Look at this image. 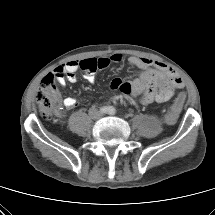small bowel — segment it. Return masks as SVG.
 Returning a JSON list of instances; mask_svg holds the SVG:
<instances>
[{"mask_svg":"<svg viewBox=\"0 0 215 215\" xmlns=\"http://www.w3.org/2000/svg\"><path fill=\"white\" fill-rule=\"evenodd\" d=\"M122 60L123 56L119 53L109 57L71 60L57 67L50 75H53L60 85L65 86L66 82H76V72L80 70L84 72L86 80L93 84L97 71ZM128 62L142 70L140 75L130 82L116 78L111 82V88L119 90L125 95L139 97L142 104H150L154 101L165 102L171 98L176 89H180L184 85L181 78L161 62L137 56H131ZM77 103L73 97L63 100L64 106L68 109L75 107Z\"/></svg>","mask_w":215,"mask_h":215,"instance_id":"c3829d8e","label":"small bowel"}]
</instances>
